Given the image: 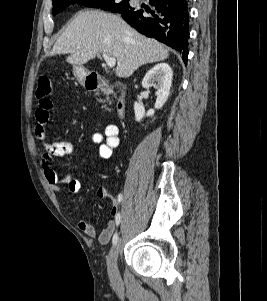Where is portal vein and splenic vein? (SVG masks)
I'll list each match as a JSON object with an SVG mask.
<instances>
[{
    "label": "portal vein and splenic vein",
    "instance_id": "portal-vein-and-splenic-vein-1",
    "mask_svg": "<svg viewBox=\"0 0 267 301\" xmlns=\"http://www.w3.org/2000/svg\"><path fill=\"white\" fill-rule=\"evenodd\" d=\"M103 59L105 60L108 67L113 68L116 64V59L114 57L102 54Z\"/></svg>",
    "mask_w": 267,
    "mask_h": 301
}]
</instances>
